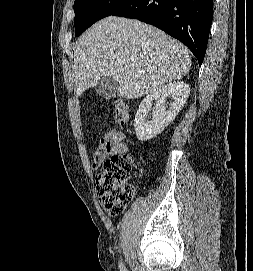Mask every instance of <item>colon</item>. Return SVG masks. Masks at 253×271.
<instances>
[{
	"mask_svg": "<svg viewBox=\"0 0 253 271\" xmlns=\"http://www.w3.org/2000/svg\"><path fill=\"white\" fill-rule=\"evenodd\" d=\"M114 120L119 125H126L130 120L127 105L120 99L114 101ZM131 154H114L101 161L95 178L96 193L102 207L112 216L123 212L126 205L133 199L135 189L128 182L132 168Z\"/></svg>",
	"mask_w": 253,
	"mask_h": 271,
	"instance_id": "obj_1",
	"label": "colon"
}]
</instances>
